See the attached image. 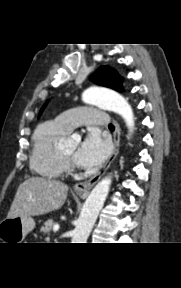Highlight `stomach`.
Returning a JSON list of instances; mask_svg holds the SVG:
<instances>
[{"instance_id":"1","label":"stomach","mask_w":181,"mask_h":288,"mask_svg":"<svg viewBox=\"0 0 181 288\" xmlns=\"http://www.w3.org/2000/svg\"><path fill=\"white\" fill-rule=\"evenodd\" d=\"M35 227L31 217L6 218L0 223V239L4 243H21Z\"/></svg>"}]
</instances>
